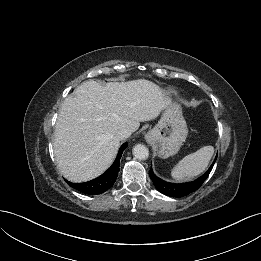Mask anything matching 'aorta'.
Returning <instances> with one entry per match:
<instances>
[{
  "mask_svg": "<svg viewBox=\"0 0 261 261\" xmlns=\"http://www.w3.org/2000/svg\"><path fill=\"white\" fill-rule=\"evenodd\" d=\"M133 155L138 160H146L149 157V150L142 144H138L133 148Z\"/></svg>",
  "mask_w": 261,
  "mask_h": 261,
  "instance_id": "762f6f07",
  "label": "aorta"
}]
</instances>
